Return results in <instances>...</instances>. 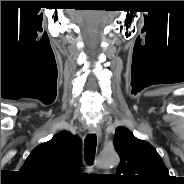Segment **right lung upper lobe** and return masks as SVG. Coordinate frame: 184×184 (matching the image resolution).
<instances>
[{
	"label": "right lung upper lobe",
	"mask_w": 184,
	"mask_h": 184,
	"mask_svg": "<svg viewBox=\"0 0 184 184\" xmlns=\"http://www.w3.org/2000/svg\"><path fill=\"white\" fill-rule=\"evenodd\" d=\"M81 151L79 137L62 131L50 141L37 146L26 159L20 172L32 182L69 183L82 164Z\"/></svg>",
	"instance_id": "right-lung-upper-lobe-1"
}]
</instances>
